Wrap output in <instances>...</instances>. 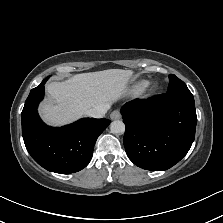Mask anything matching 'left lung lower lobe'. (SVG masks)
Instances as JSON below:
<instances>
[{
	"label": "left lung lower lobe",
	"mask_w": 223,
	"mask_h": 223,
	"mask_svg": "<svg viewBox=\"0 0 223 223\" xmlns=\"http://www.w3.org/2000/svg\"><path fill=\"white\" fill-rule=\"evenodd\" d=\"M129 159L140 168L167 170L189 151L197 124L193 95L165 93L121 108Z\"/></svg>",
	"instance_id": "1"
}]
</instances>
